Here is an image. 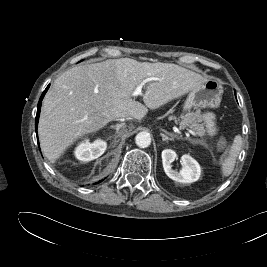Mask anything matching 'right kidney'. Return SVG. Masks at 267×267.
Listing matches in <instances>:
<instances>
[{
    "instance_id": "1",
    "label": "right kidney",
    "mask_w": 267,
    "mask_h": 267,
    "mask_svg": "<svg viewBox=\"0 0 267 267\" xmlns=\"http://www.w3.org/2000/svg\"><path fill=\"white\" fill-rule=\"evenodd\" d=\"M106 148L107 143L104 140L97 139L93 143H90L89 140H85L75 148L74 153L78 160L89 162L100 157L105 152Z\"/></svg>"
}]
</instances>
